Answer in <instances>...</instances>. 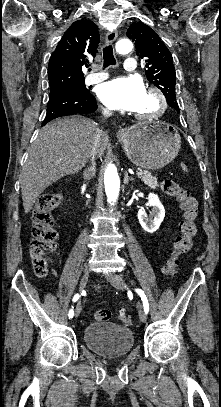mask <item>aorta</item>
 <instances>
[{
  "label": "aorta",
  "instance_id": "1",
  "mask_svg": "<svg viewBox=\"0 0 221 407\" xmlns=\"http://www.w3.org/2000/svg\"><path fill=\"white\" fill-rule=\"evenodd\" d=\"M133 44L129 39H121L116 43V50L120 54L129 53ZM104 185L107 201L114 205L119 195L120 180L115 165L109 164L104 173Z\"/></svg>",
  "mask_w": 221,
  "mask_h": 407
}]
</instances>
